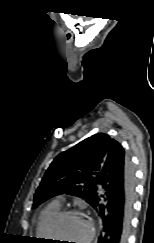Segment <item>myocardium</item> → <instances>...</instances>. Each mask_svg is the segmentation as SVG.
I'll return each instance as SVG.
<instances>
[{
	"label": "myocardium",
	"mask_w": 154,
	"mask_h": 243,
	"mask_svg": "<svg viewBox=\"0 0 154 243\" xmlns=\"http://www.w3.org/2000/svg\"><path fill=\"white\" fill-rule=\"evenodd\" d=\"M71 215H80L85 217L88 222H89V232L88 235L86 237V239L83 241V243H91V241L93 240L94 236H95V223L93 221V219L87 215L86 213H84L81 210L78 209H64V210H60L50 221L49 224V235L52 239L57 238V236L55 235L56 229L59 225V223L66 217L71 216Z\"/></svg>",
	"instance_id": "f54148a6"
}]
</instances>
